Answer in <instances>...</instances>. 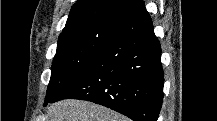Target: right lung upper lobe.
<instances>
[{"mask_svg": "<svg viewBox=\"0 0 217 121\" xmlns=\"http://www.w3.org/2000/svg\"><path fill=\"white\" fill-rule=\"evenodd\" d=\"M145 10L142 0H78L69 13L62 33L80 24L96 20L128 23Z\"/></svg>", "mask_w": 217, "mask_h": 121, "instance_id": "obj_1", "label": "right lung upper lobe"}]
</instances>
